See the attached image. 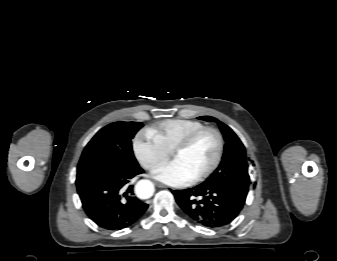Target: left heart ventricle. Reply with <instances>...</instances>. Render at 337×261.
Returning <instances> with one entry per match:
<instances>
[{
	"instance_id": "obj_1",
	"label": "left heart ventricle",
	"mask_w": 337,
	"mask_h": 261,
	"mask_svg": "<svg viewBox=\"0 0 337 261\" xmlns=\"http://www.w3.org/2000/svg\"><path fill=\"white\" fill-rule=\"evenodd\" d=\"M217 138L213 133L202 134L185 151L175 155L178 161L194 177L204 172L213 163L217 153Z\"/></svg>"
}]
</instances>
